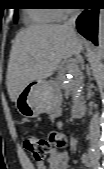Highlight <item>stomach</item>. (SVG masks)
<instances>
[{
	"label": "stomach",
	"instance_id": "0dacf381",
	"mask_svg": "<svg viewBox=\"0 0 104 169\" xmlns=\"http://www.w3.org/2000/svg\"><path fill=\"white\" fill-rule=\"evenodd\" d=\"M61 105L58 87L46 80L30 82L19 94L15 108L24 118L30 119L42 113H54Z\"/></svg>",
	"mask_w": 104,
	"mask_h": 169
}]
</instances>
